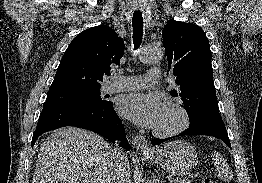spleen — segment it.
I'll return each instance as SVG.
<instances>
[{
  "label": "spleen",
  "instance_id": "1",
  "mask_svg": "<svg viewBox=\"0 0 262 183\" xmlns=\"http://www.w3.org/2000/svg\"><path fill=\"white\" fill-rule=\"evenodd\" d=\"M212 160L214 165L218 171V175L221 180L223 181H230L233 177L229 165L227 164L226 160L219 154L218 152H214L212 155Z\"/></svg>",
  "mask_w": 262,
  "mask_h": 183
}]
</instances>
